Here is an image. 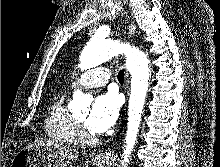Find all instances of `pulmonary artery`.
Wrapping results in <instances>:
<instances>
[{"label": "pulmonary artery", "instance_id": "e3ab8cb5", "mask_svg": "<svg viewBox=\"0 0 220 167\" xmlns=\"http://www.w3.org/2000/svg\"><path fill=\"white\" fill-rule=\"evenodd\" d=\"M110 80V72L107 68L99 67L90 69L80 74L73 82L72 86L86 88L100 87L106 85Z\"/></svg>", "mask_w": 220, "mask_h": 167}]
</instances>
